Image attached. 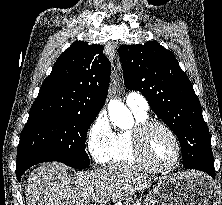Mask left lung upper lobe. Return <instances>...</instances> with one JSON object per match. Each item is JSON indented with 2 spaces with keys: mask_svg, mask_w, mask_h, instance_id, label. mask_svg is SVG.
I'll return each mask as SVG.
<instances>
[{
  "mask_svg": "<svg viewBox=\"0 0 222 205\" xmlns=\"http://www.w3.org/2000/svg\"><path fill=\"white\" fill-rule=\"evenodd\" d=\"M126 88L141 92L151 109L177 135L182 155L213 161L209 129L201 104L175 56L157 42L118 49Z\"/></svg>",
  "mask_w": 222,
  "mask_h": 205,
  "instance_id": "1",
  "label": "left lung upper lobe"
}]
</instances>
